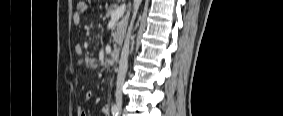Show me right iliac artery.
I'll use <instances>...</instances> for the list:
<instances>
[{
    "label": "right iliac artery",
    "instance_id": "82829eb1",
    "mask_svg": "<svg viewBox=\"0 0 283 116\" xmlns=\"http://www.w3.org/2000/svg\"><path fill=\"white\" fill-rule=\"evenodd\" d=\"M111 111H112V115H113V116H118L119 111H118V108H117L116 105H113V106H112Z\"/></svg>",
    "mask_w": 283,
    "mask_h": 116
}]
</instances>
